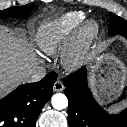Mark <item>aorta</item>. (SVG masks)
<instances>
[{
    "label": "aorta",
    "instance_id": "aorta-1",
    "mask_svg": "<svg viewBox=\"0 0 127 127\" xmlns=\"http://www.w3.org/2000/svg\"><path fill=\"white\" fill-rule=\"evenodd\" d=\"M51 103L56 110H62L68 106V99L64 94L57 93L52 96Z\"/></svg>",
    "mask_w": 127,
    "mask_h": 127
}]
</instances>
